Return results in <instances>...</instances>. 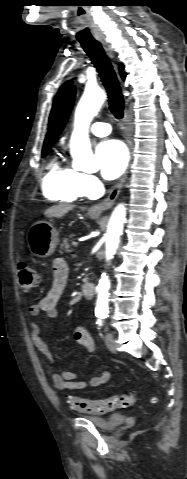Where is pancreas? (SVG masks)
Segmentation results:
<instances>
[{"label": "pancreas", "mask_w": 187, "mask_h": 479, "mask_svg": "<svg viewBox=\"0 0 187 479\" xmlns=\"http://www.w3.org/2000/svg\"><path fill=\"white\" fill-rule=\"evenodd\" d=\"M73 238V235L69 236V238H64L63 242L61 243V248H65V250L70 251V244L69 241H71ZM74 244V243H72Z\"/></svg>", "instance_id": "cf45deb5"}]
</instances>
